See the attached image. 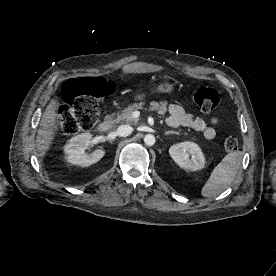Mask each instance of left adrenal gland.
Returning a JSON list of instances; mask_svg holds the SVG:
<instances>
[{"mask_svg": "<svg viewBox=\"0 0 276 276\" xmlns=\"http://www.w3.org/2000/svg\"><path fill=\"white\" fill-rule=\"evenodd\" d=\"M169 134H178V133L174 132V131H167V132H165V135H169Z\"/></svg>", "mask_w": 276, "mask_h": 276, "instance_id": "a2214340", "label": "left adrenal gland"}]
</instances>
